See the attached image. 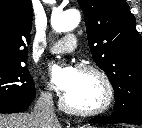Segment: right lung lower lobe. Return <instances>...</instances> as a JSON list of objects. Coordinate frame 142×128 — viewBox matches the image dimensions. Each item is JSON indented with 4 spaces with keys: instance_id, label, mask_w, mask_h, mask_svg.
<instances>
[{
    "instance_id": "98d812e1",
    "label": "right lung lower lobe",
    "mask_w": 142,
    "mask_h": 128,
    "mask_svg": "<svg viewBox=\"0 0 142 128\" xmlns=\"http://www.w3.org/2000/svg\"><path fill=\"white\" fill-rule=\"evenodd\" d=\"M30 104L19 103V102H0V113L22 112L27 110Z\"/></svg>"
}]
</instances>
